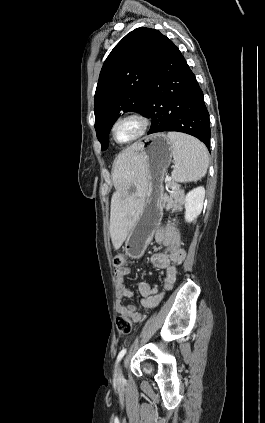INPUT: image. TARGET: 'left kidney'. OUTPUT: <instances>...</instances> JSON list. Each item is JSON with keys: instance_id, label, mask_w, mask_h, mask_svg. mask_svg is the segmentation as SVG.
Returning <instances> with one entry per match:
<instances>
[{"instance_id": "left-kidney-1", "label": "left kidney", "mask_w": 265, "mask_h": 423, "mask_svg": "<svg viewBox=\"0 0 265 423\" xmlns=\"http://www.w3.org/2000/svg\"><path fill=\"white\" fill-rule=\"evenodd\" d=\"M205 197L203 186L194 188L185 196V220L192 222L202 211Z\"/></svg>"}]
</instances>
